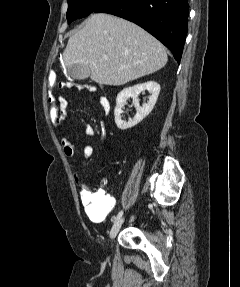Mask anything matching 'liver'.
<instances>
[{
  "instance_id": "liver-1",
  "label": "liver",
  "mask_w": 240,
  "mask_h": 287,
  "mask_svg": "<svg viewBox=\"0 0 240 287\" xmlns=\"http://www.w3.org/2000/svg\"><path fill=\"white\" fill-rule=\"evenodd\" d=\"M107 55V59L102 56ZM164 46L138 25L109 14H94L72 35L65 66H87L93 81L119 86L152 74L167 63Z\"/></svg>"
}]
</instances>
